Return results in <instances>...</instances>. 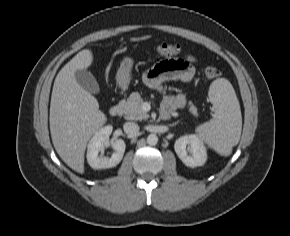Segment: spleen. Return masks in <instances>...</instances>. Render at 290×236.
Here are the masks:
<instances>
[{
    "label": "spleen",
    "instance_id": "obj_1",
    "mask_svg": "<svg viewBox=\"0 0 290 236\" xmlns=\"http://www.w3.org/2000/svg\"><path fill=\"white\" fill-rule=\"evenodd\" d=\"M208 95L215 114L213 119L199 125L196 132L210 148L222 156H229L241 136L242 116L239 101L233 86L225 78L214 80Z\"/></svg>",
    "mask_w": 290,
    "mask_h": 236
}]
</instances>
